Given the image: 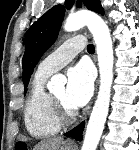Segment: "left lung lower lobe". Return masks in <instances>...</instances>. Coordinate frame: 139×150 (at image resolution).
Wrapping results in <instances>:
<instances>
[{
  "mask_svg": "<svg viewBox=\"0 0 139 150\" xmlns=\"http://www.w3.org/2000/svg\"><path fill=\"white\" fill-rule=\"evenodd\" d=\"M84 129V122H82L81 124H79L77 127H75L74 129H72L71 131L65 133V136H69V137H73L76 140H82V132Z\"/></svg>",
  "mask_w": 139,
  "mask_h": 150,
  "instance_id": "0a47b994",
  "label": "left lung lower lobe"
}]
</instances>
